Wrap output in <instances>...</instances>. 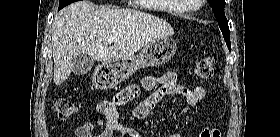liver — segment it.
<instances>
[{"instance_id":"obj_1","label":"liver","mask_w":280,"mask_h":137,"mask_svg":"<svg viewBox=\"0 0 280 137\" xmlns=\"http://www.w3.org/2000/svg\"><path fill=\"white\" fill-rule=\"evenodd\" d=\"M173 34L169 23L151 14L133 9H96L85 0L72 3L52 24L54 83L60 85L70 76L78 54L103 62L125 59L154 40ZM112 37L117 41L108 47Z\"/></svg>"}]
</instances>
